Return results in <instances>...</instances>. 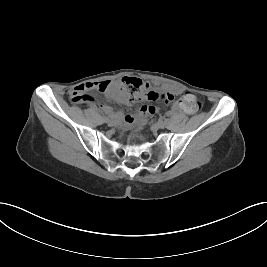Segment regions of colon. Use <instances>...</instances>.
<instances>
[{
	"label": "colon",
	"mask_w": 267,
	"mask_h": 267,
	"mask_svg": "<svg viewBox=\"0 0 267 267\" xmlns=\"http://www.w3.org/2000/svg\"><path fill=\"white\" fill-rule=\"evenodd\" d=\"M108 82L104 81L97 86V90L104 91L108 87ZM123 89L129 94V100L131 102H138L142 99H146L153 103L168 104L173 100V95L169 93H159L155 91H149L146 85L139 79L127 78L123 83ZM93 90L90 85L82 84L78 88L74 89L70 99L75 104L82 103L90 100L91 96L89 92ZM180 105L183 110L188 114H196L201 109V102L197 98L196 94L192 92L185 93L181 100Z\"/></svg>",
	"instance_id": "obj_1"
}]
</instances>
